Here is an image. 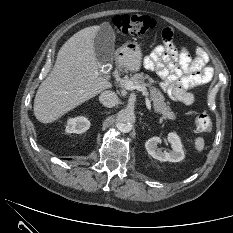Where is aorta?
Masks as SVG:
<instances>
[{
  "mask_svg": "<svg viewBox=\"0 0 233 233\" xmlns=\"http://www.w3.org/2000/svg\"><path fill=\"white\" fill-rule=\"evenodd\" d=\"M135 122V114L132 110L123 109L118 112L116 118V125L121 132H130L132 130L133 123Z\"/></svg>",
  "mask_w": 233,
  "mask_h": 233,
  "instance_id": "1",
  "label": "aorta"
}]
</instances>
